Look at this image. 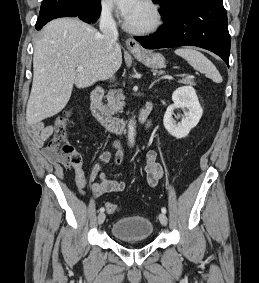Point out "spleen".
I'll return each mask as SVG.
<instances>
[{"mask_svg":"<svg viewBox=\"0 0 259 283\" xmlns=\"http://www.w3.org/2000/svg\"><path fill=\"white\" fill-rule=\"evenodd\" d=\"M175 54L185 59L195 70L204 73L216 83L222 82V77L213 63L202 53L186 47L175 50Z\"/></svg>","mask_w":259,"mask_h":283,"instance_id":"spleen-1","label":"spleen"}]
</instances>
